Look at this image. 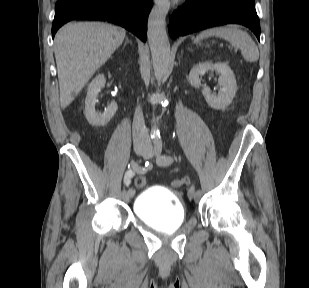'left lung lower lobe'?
Here are the masks:
<instances>
[{"mask_svg":"<svg viewBox=\"0 0 309 288\" xmlns=\"http://www.w3.org/2000/svg\"><path fill=\"white\" fill-rule=\"evenodd\" d=\"M242 24L260 40L259 18L254 0H187L171 17L172 38L223 24Z\"/></svg>","mask_w":309,"mask_h":288,"instance_id":"0a47b994","label":"left lung lower lobe"}]
</instances>
